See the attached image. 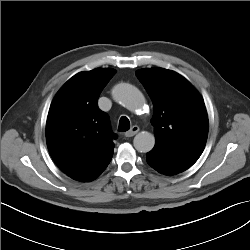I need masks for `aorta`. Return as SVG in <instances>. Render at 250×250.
<instances>
[{
  "label": "aorta",
  "instance_id": "762f6f07",
  "mask_svg": "<svg viewBox=\"0 0 250 250\" xmlns=\"http://www.w3.org/2000/svg\"><path fill=\"white\" fill-rule=\"evenodd\" d=\"M112 96L116 102L131 111H136L144 105L142 93L135 86L128 83L117 84L112 90ZM133 145L137 151L147 153L153 149L155 137L152 133L140 132L134 137Z\"/></svg>",
  "mask_w": 250,
  "mask_h": 250
}]
</instances>
